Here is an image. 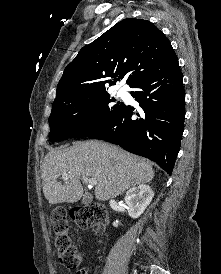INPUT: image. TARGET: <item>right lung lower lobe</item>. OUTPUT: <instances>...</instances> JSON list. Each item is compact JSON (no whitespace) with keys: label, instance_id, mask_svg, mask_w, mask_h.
Masks as SVG:
<instances>
[{"label":"right lung lower lobe","instance_id":"right-lung-lower-lobe-1","mask_svg":"<svg viewBox=\"0 0 221 274\" xmlns=\"http://www.w3.org/2000/svg\"><path fill=\"white\" fill-rule=\"evenodd\" d=\"M133 88L131 95L139 102L144 116L132 120L134 108L124 105L114 120L89 137L149 158L171 175L185 119V92L178 59Z\"/></svg>","mask_w":221,"mask_h":274}]
</instances>
